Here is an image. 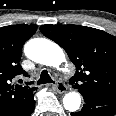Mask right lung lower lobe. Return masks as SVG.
<instances>
[{"instance_id": "right-lung-lower-lobe-1", "label": "right lung lower lobe", "mask_w": 116, "mask_h": 116, "mask_svg": "<svg viewBox=\"0 0 116 116\" xmlns=\"http://www.w3.org/2000/svg\"><path fill=\"white\" fill-rule=\"evenodd\" d=\"M35 108V101L33 100L18 116H30Z\"/></svg>"}]
</instances>
